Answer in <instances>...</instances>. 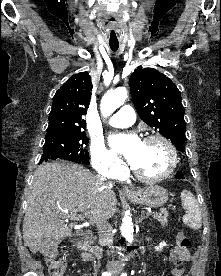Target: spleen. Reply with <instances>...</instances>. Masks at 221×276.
Listing matches in <instances>:
<instances>
[{
    "mask_svg": "<svg viewBox=\"0 0 221 276\" xmlns=\"http://www.w3.org/2000/svg\"><path fill=\"white\" fill-rule=\"evenodd\" d=\"M180 197L182 206L186 210V214L182 217L183 223L194 230L200 229L202 226V216L196 198L187 190H183Z\"/></svg>",
    "mask_w": 221,
    "mask_h": 276,
    "instance_id": "obj_1",
    "label": "spleen"
}]
</instances>
